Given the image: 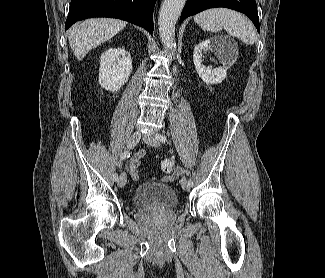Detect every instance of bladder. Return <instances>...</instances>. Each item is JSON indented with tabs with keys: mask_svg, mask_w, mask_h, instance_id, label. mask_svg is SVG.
<instances>
[{
	"mask_svg": "<svg viewBox=\"0 0 325 278\" xmlns=\"http://www.w3.org/2000/svg\"><path fill=\"white\" fill-rule=\"evenodd\" d=\"M133 200L140 208L171 209L178 204V197L172 186L155 182L139 185Z\"/></svg>",
	"mask_w": 325,
	"mask_h": 278,
	"instance_id": "bladder-1",
	"label": "bladder"
}]
</instances>
